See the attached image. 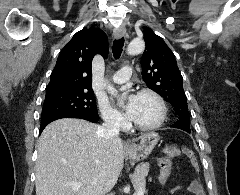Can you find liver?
<instances>
[{
    "label": "liver",
    "mask_w": 240,
    "mask_h": 195,
    "mask_svg": "<svg viewBox=\"0 0 240 195\" xmlns=\"http://www.w3.org/2000/svg\"><path fill=\"white\" fill-rule=\"evenodd\" d=\"M98 125L63 117L39 137L36 195H101L111 191L124 165L121 139H102ZM83 183L73 191L67 183Z\"/></svg>",
    "instance_id": "6515ba94"
}]
</instances>
